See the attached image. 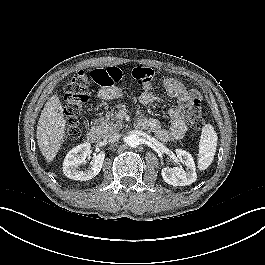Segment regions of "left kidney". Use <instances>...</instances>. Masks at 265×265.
Masks as SVG:
<instances>
[{
	"instance_id": "1",
	"label": "left kidney",
	"mask_w": 265,
	"mask_h": 265,
	"mask_svg": "<svg viewBox=\"0 0 265 265\" xmlns=\"http://www.w3.org/2000/svg\"><path fill=\"white\" fill-rule=\"evenodd\" d=\"M176 154L179 161L187 167V170L185 171L182 167L163 168L161 171L163 180L173 186H186L192 184L197 179L193 157L191 154L181 149H177Z\"/></svg>"
}]
</instances>
